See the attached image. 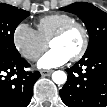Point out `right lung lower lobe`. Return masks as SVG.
<instances>
[{
  "instance_id": "obj_1",
  "label": "right lung lower lobe",
  "mask_w": 107,
  "mask_h": 107,
  "mask_svg": "<svg viewBox=\"0 0 107 107\" xmlns=\"http://www.w3.org/2000/svg\"><path fill=\"white\" fill-rule=\"evenodd\" d=\"M28 66L21 56L11 59L0 56V107L28 106L33 85L40 77L38 71L26 72L24 68Z\"/></svg>"
}]
</instances>
